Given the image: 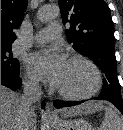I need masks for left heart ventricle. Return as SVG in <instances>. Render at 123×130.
Returning a JSON list of instances; mask_svg holds the SVG:
<instances>
[{"instance_id": "left-heart-ventricle-1", "label": "left heart ventricle", "mask_w": 123, "mask_h": 130, "mask_svg": "<svg viewBox=\"0 0 123 130\" xmlns=\"http://www.w3.org/2000/svg\"><path fill=\"white\" fill-rule=\"evenodd\" d=\"M92 70L80 62H66L65 68L55 85L57 88L69 93H85L94 85Z\"/></svg>"}]
</instances>
